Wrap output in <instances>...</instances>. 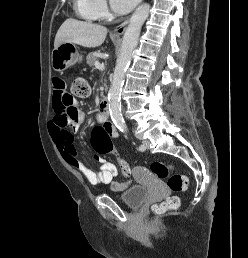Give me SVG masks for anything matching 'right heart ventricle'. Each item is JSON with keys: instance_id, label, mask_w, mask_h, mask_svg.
Masks as SVG:
<instances>
[{"instance_id": "1", "label": "right heart ventricle", "mask_w": 248, "mask_h": 258, "mask_svg": "<svg viewBox=\"0 0 248 258\" xmlns=\"http://www.w3.org/2000/svg\"><path fill=\"white\" fill-rule=\"evenodd\" d=\"M73 6L77 16L83 20L95 21L98 18L91 0H74Z\"/></svg>"}]
</instances>
